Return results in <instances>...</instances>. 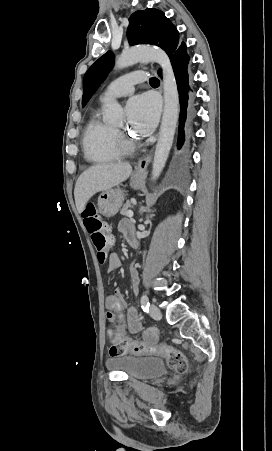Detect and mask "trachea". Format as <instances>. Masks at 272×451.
<instances>
[{
	"label": "trachea",
	"instance_id": "obj_1",
	"mask_svg": "<svg viewBox=\"0 0 272 451\" xmlns=\"http://www.w3.org/2000/svg\"><path fill=\"white\" fill-rule=\"evenodd\" d=\"M150 84H159L158 78H150Z\"/></svg>",
	"mask_w": 272,
	"mask_h": 451
}]
</instances>
